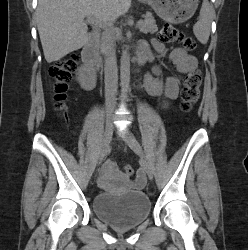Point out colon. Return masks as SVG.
<instances>
[{
    "instance_id": "obj_1",
    "label": "colon",
    "mask_w": 248,
    "mask_h": 250,
    "mask_svg": "<svg viewBox=\"0 0 248 250\" xmlns=\"http://www.w3.org/2000/svg\"><path fill=\"white\" fill-rule=\"evenodd\" d=\"M160 39L164 42L181 43L187 50L196 48L195 40L180 32L174 25L166 23L160 31ZM79 55L72 53L68 58H64L52 65L49 70V76L53 79V90L55 105L58 109L65 107L67 92L79 63ZM201 72L198 69L191 70L184 78L181 90L180 108L184 112H189L197 102L200 94ZM126 177L134 174V168L131 165H124L122 168Z\"/></svg>"
}]
</instances>
